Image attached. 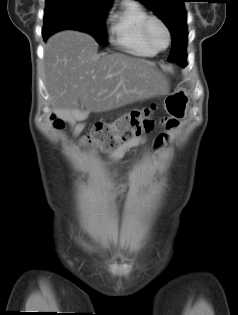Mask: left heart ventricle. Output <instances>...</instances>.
<instances>
[{"mask_svg": "<svg viewBox=\"0 0 238 315\" xmlns=\"http://www.w3.org/2000/svg\"><path fill=\"white\" fill-rule=\"evenodd\" d=\"M150 35L153 42L159 46L164 47L167 42L165 31L158 23H153L150 29Z\"/></svg>", "mask_w": 238, "mask_h": 315, "instance_id": "b2bd125f", "label": "left heart ventricle"}]
</instances>
